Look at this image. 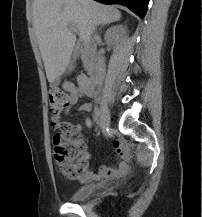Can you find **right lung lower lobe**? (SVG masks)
<instances>
[{
	"mask_svg": "<svg viewBox=\"0 0 202 217\" xmlns=\"http://www.w3.org/2000/svg\"><path fill=\"white\" fill-rule=\"evenodd\" d=\"M98 2L104 3V4H121L126 7H128L132 12H134L136 15H138L140 18H143L149 0H96Z\"/></svg>",
	"mask_w": 202,
	"mask_h": 217,
	"instance_id": "obj_1",
	"label": "right lung lower lobe"
}]
</instances>
